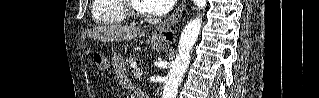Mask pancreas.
<instances>
[{
  "instance_id": "cf45deb5",
  "label": "pancreas",
  "mask_w": 319,
  "mask_h": 98,
  "mask_svg": "<svg viewBox=\"0 0 319 98\" xmlns=\"http://www.w3.org/2000/svg\"><path fill=\"white\" fill-rule=\"evenodd\" d=\"M135 60H137V57H136V55L135 54H132V55H130V56H128L127 58H126V62L128 63H130V62H132V61H135Z\"/></svg>"
}]
</instances>
